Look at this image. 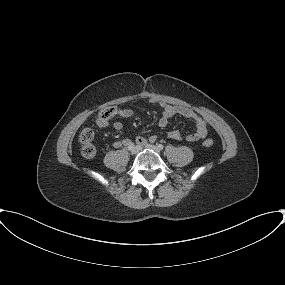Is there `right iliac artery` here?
Wrapping results in <instances>:
<instances>
[{
  "mask_svg": "<svg viewBox=\"0 0 285 285\" xmlns=\"http://www.w3.org/2000/svg\"><path fill=\"white\" fill-rule=\"evenodd\" d=\"M126 146L129 150H132L135 147L133 142H128Z\"/></svg>",
  "mask_w": 285,
  "mask_h": 285,
  "instance_id": "right-iliac-artery-1",
  "label": "right iliac artery"
}]
</instances>
